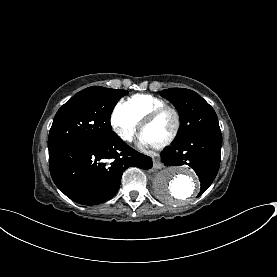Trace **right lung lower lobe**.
<instances>
[{"label":"right lung lower lobe","mask_w":277,"mask_h":277,"mask_svg":"<svg viewBox=\"0 0 277 277\" xmlns=\"http://www.w3.org/2000/svg\"><path fill=\"white\" fill-rule=\"evenodd\" d=\"M131 166L150 169L152 160L129 147L118 135L49 150L54 183L67 197L83 205L112 198L119 190L122 173Z\"/></svg>","instance_id":"obj_1"}]
</instances>
